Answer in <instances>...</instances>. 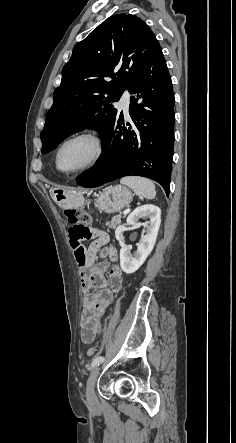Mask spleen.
Wrapping results in <instances>:
<instances>
[{
	"mask_svg": "<svg viewBox=\"0 0 236 443\" xmlns=\"http://www.w3.org/2000/svg\"><path fill=\"white\" fill-rule=\"evenodd\" d=\"M120 183L131 188L136 195L146 199H153L156 195L154 183L147 178L126 176L121 178Z\"/></svg>",
	"mask_w": 236,
	"mask_h": 443,
	"instance_id": "3e777b00",
	"label": "spleen"
}]
</instances>
